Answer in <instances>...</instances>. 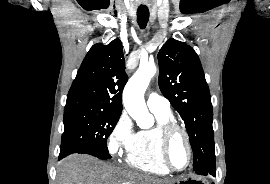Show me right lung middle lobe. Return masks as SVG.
<instances>
[{"label": "right lung middle lobe", "mask_w": 270, "mask_h": 184, "mask_svg": "<svg viewBox=\"0 0 270 184\" xmlns=\"http://www.w3.org/2000/svg\"><path fill=\"white\" fill-rule=\"evenodd\" d=\"M120 115L86 101H67L59 158L85 153L100 159H110L107 138Z\"/></svg>", "instance_id": "dd1d6c3e"}]
</instances>
